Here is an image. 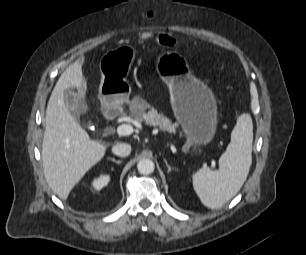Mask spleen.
<instances>
[{"label":"spleen","mask_w":306,"mask_h":255,"mask_svg":"<svg viewBox=\"0 0 306 255\" xmlns=\"http://www.w3.org/2000/svg\"><path fill=\"white\" fill-rule=\"evenodd\" d=\"M253 124L248 113L237 119L231 142L219 159V169L201 168L193 175V187L204 206L221 208L241 189L252 163Z\"/></svg>","instance_id":"spleen-1"}]
</instances>
